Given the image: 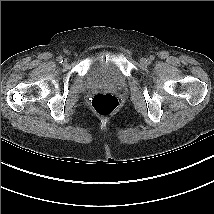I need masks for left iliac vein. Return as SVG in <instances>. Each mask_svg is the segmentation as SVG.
<instances>
[{"label":"left iliac vein","mask_w":214,"mask_h":214,"mask_svg":"<svg viewBox=\"0 0 214 214\" xmlns=\"http://www.w3.org/2000/svg\"><path fill=\"white\" fill-rule=\"evenodd\" d=\"M140 63H141L142 65H148V64H149V60H148L147 58H142V59L140 60Z\"/></svg>","instance_id":"4c4485c4"}]
</instances>
